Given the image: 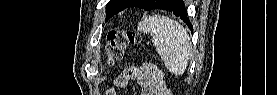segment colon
<instances>
[{
	"mask_svg": "<svg viewBox=\"0 0 277 95\" xmlns=\"http://www.w3.org/2000/svg\"><path fill=\"white\" fill-rule=\"evenodd\" d=\"M140 36L133 31L111 29L106 34V53L110 63L120 60L124 51L131 45L139 43Z\"/></svg>",
	"mask_w": 277,
	"mask_h": 95,
	"instance_id": "obj_1",
	"label": "colon"
}]
</instances>
